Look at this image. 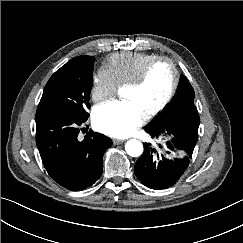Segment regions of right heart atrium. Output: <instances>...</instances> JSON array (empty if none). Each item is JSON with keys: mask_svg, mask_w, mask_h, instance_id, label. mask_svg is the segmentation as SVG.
Masks as SVG:
<instances>
[{"mask_svg": "<svg viewBox=\"0 0 243 243\" xmlns=\"http://www.w3.org/2000/svg\"><path fill=\"white\" fill-rule=\"evenodd\" d=\"M118 87L111 73L106 68H100L92 76L91 98L96 103L104 102L116 95Z\"/></svg>", "mask_w": 243, "mask_h": 243, "instance_id": "1", "label": "right heart atrium"}]
</instances>
